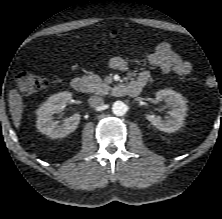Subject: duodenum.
<instances>
[{
	"label": "duodenum",
	"instance_id": "1",
	"mask_svg": "<svg viewBox=\"0 0 222 219\" xmlns=\"http://www.w3.org/2000/svg\"><path fill=\"white\" fill-rule=\"evenodd\" d=\"M71 87L73 90L79 93H83L88 88V82L87 80L82 76L74 77L71 80ZM142 90V84L139 82H133L129 84H117L113 88V93L116 96H136L138 95Z\"/></svg>",
	"mask_w": 222,
	"mask_h": 219
}]
</instances>
